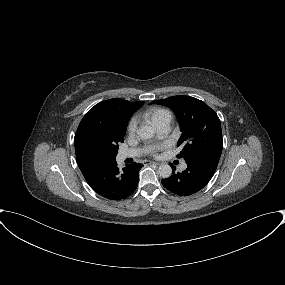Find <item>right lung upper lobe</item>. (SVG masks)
Here are the masks:
<instances>
[{
  "instance_id": "right-lung-upper-lobe-1",
  "label": "right lung upper lobe",
  "mask_w": 285,
  "mask_h": 285,
  "mask_svg": "<svg viewBox=\"0 0 285 285\" xmlns=\"http://www.w3.org/2000/svg\"><path fill=\"white\" fill-rule=\"evenodd\" d=\"M143 104L114 98L85 114L74 137L76 161L83 174L115 161L109 148L123 142L130 117Z\"/></svg>"
}]
</instances>
